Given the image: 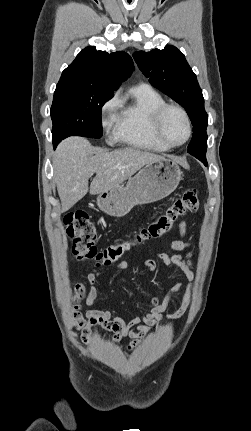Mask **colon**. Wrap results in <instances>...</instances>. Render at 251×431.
I'll list each match as a JSON object with an SVG mask.
<instances>
[{"label":"colon","mask_w":251,"mask_h":431,"mask_svg":"<svg viewBox=\"0 0 251 431\" xmlns=\"http://www.w3.org/2000/svg\"><path fill=\"white\" fill-rule=\"evenodd\" d=\"M199 208L198 193L195 189H186L161 215L148 225L142 227L133 239L115 243L98 249V233L89 216L81 211L67 214L64 217L66 237L72 242V252L79 260L91 261L97 266L109 265L137 245L162 237L171 232L178 219ZM85 294L82 284L74 288V300L79 301Z\"/></svg>","instance_id":"colon-1"}]
</instances>
